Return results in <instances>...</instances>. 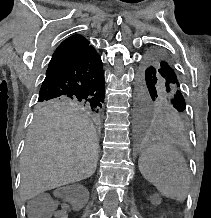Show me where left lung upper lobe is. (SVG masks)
Listing matches in <instances>:
<instances>
[{"label": "left lung upper lobe", "mask_w": 211, "mask_h": 218, "mask_svg": "<svg viewBox=\"0 0 211 218\" xmlns=\"http://www.w3.org/2000/svg\"><path fill=\"white\" fill-rule=\"evenodd\" d=\"M141 79L143 102L139 107V115L142 125L157 123L182 130L186 124L182 85L162 53L151 50L145 54Z\"/></svg>", "instance_id": "left-lung-upper-lobe-1"}]
</instances>
